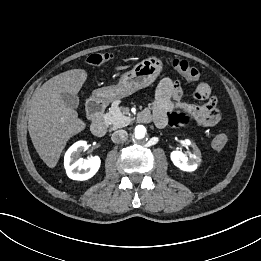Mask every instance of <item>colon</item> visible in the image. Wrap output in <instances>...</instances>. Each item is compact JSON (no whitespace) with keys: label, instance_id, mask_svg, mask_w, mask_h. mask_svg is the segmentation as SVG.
<instances>
[{"label":"colon","instance_id":"5ec220e1","mask_svg":"<svg viewBox=\"0 0 261 261\" xmlns=\"http://www.w3.org/2000/svg\"><path fill=\"white\" fill-rule=\"evenodd\" d=\"M112 58L110 53H92L87 56L86 61L89 65L98 66ZM172 67L181 75L192 81H198L201 77L199 70L190 65L186 60L174 58L170 60ZM228 143V137L225 134L216 135L211 142V146L215 150H222Z\"/></svg>","mask_w":261,"mask_h":261}]
</instances>
